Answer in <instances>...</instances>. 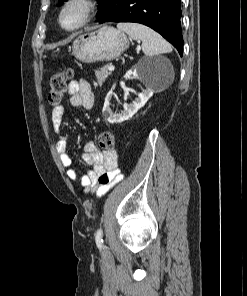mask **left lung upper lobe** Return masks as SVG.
<instances>
[{
  "instance_id": "left-lung-upper-lobe-1",
  "label": "left lung upper lobe",
  "mask_w": 247,
  "mask_h": 296,
  "mask_svg": "<svg viewBox=\"0 0 247 296\" xmlns=\"http://www.w3.org/2000/svg\"><path fill=\"white\" fill-rule=\"evenodd\" d=\"M63 1H66V0H60V3L63 2ZM98 3H99V6H100V9L97 13V17L99 15H101L103 12H105L108 7L110 6V3L112 2V0H97Z\"/></svg>"
}]
</instances>
